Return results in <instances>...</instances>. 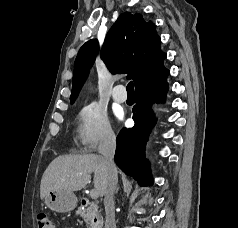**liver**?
Wrapping results in <instances>:
<instances>
[{"mask_svg": "<svg viewBox=\"0 0 238 228\" xmlns=\"http://www.w3.org/2000/svg\"><path fill=\"white\" fill-rule=\"evenodd\" d=\"M100 196L105 194L108 171L100 155H62L55 158L43 173L40 198L49 191H79L91 180Z\"/></svg>", "mask_w": 238, "mask_h": 228, "instance_id": "obj_1", "label": "liver"}]
</instances>
